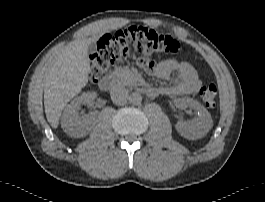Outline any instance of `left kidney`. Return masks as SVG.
<instances>
[{
	"instance_id": "left-kidney-1",
	"label": "left kidney",
	"mask_w": 265,
	"mask_h": 202,
	"mask_svg": "<svg viewBox=\"0 0 265 202\" xmlns=\"http://www.w3.org/2000/svg\"><path fill=\"white\" fill-rule=\"evenodd\" d=\"M179 109L190 107L197 112V116L190 121L179 120L175 128L186 139L196 140L206 135L213 127V121L208 110L192 98H178L174 101Z\"/></svg>"
}]
</instances>
